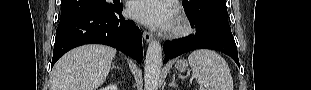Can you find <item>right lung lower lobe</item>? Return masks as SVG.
Returning a JSON list of instances; mask_svg holds the SVG:
<instances>
[{
    "mask_svg": "<svg viewBox=\"0 0 311 90\" xmlns=\"http://www.w3.org/2000/svg\"><path fill=\"white\" fill-rule=\"evenodd\" d=\"M122 9L123 5L119 4L110 10L82 12L61 20L51 66L70 49L91 43L112 46L140 63L143 59L141 30L121 15Z\"/></svg>",
    "mask_w": 311,
    "mask_h": 90,
    "instance_id": "98d812e1",
    "label": "right lung lower lobe"
}]
</instances>
